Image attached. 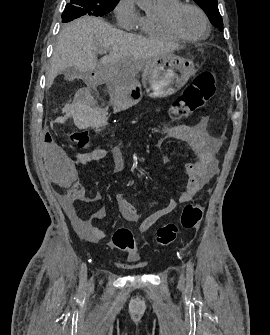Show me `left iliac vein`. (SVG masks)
<instances>
[{
    "label": "left iliac vein",
    "mask_w": 270,
    "mask_h": 335,
    "mask_svg": "<svg viewBox=\"0 0 270 335\" xmlns=\"http://www.w3.org/2000/svg\"><path fill=\"white\" fill-rule=\"evenodd\" d=\"M179 284H180V285H183V284H184V276H183V275L180 276Z\"/></svg>",
    "instance_id": "1"
}]
</instances>
